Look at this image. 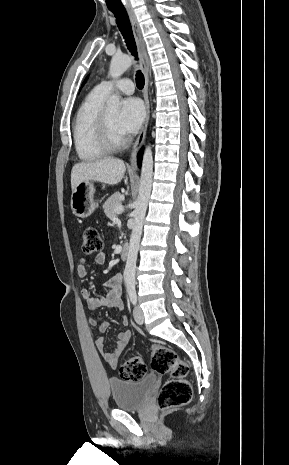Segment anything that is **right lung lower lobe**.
<instances>
[{"instance_id": "1", "label": "right lung lower lobe", "mask_w": 289, "mask_h": 465, "mask_svg": "<svg viewBox=\"0 0 289 465\" xmlns=\"http://www.w3.org/2000/svg\"><path fill=\"white\" fill-rule=\"evenodd\" d=\"M138 156H139L138 164L140 165V161H141V158H142V152H140V153L138 154Z\"/></svg>"}]
</instances>
